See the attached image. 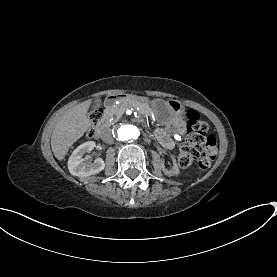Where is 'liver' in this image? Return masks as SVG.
<instances>
[{
    "instance_id": "6515ba94",
    "label": "liver",
    "mask_w": 277,
    "mask_h": 277,
    "mask_svg": "<svg viewBox=\"0 0 277 277\" xmlns=\"http://www.w3.org/2000/svg\"><path fill=\"white\" fill-rule=\"evenodd\" d=\"M92 100H85L68 110L54 126L51 149L56 159L64 160L72 145L82 138L91 127L87 110Z\"/></svg>"
}]
</instances>
